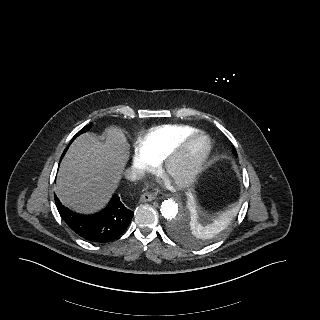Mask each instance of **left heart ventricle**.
Instances as JSON below:
<instances>
[{"mask_svg":"<svg viewBox=\"0 0 320 320\" xmlns=\"http://www.w3.org/2000/svg\"><path fill=\"white\" fill-rule=\"evenodd\" d=\"M197 150V147H194V148H192V150H191V152L193 153V152H195ZM183 169L182 168H177L174 172H173V174H172V176L170 177L171 179H174L175 177H177V176H179V175H181L182 173H183Z\"/></svg>","mask_w":320,"mask_h":320,"instance_id":"left-heart-ventricle-1","label":"left heart ventricle"}]
</instances>
